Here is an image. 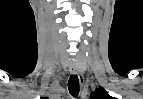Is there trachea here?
<instances>
[{"label":"trachea","instance_id":"obj_1","mask_svg":"<svg viewBox=\"0 0 143 99\" xmlns=\"http://www.w3.org/2000/svg\"><path fill=\"white\" fill-rule=\"evenodd\" d=\"M69 93L73 97H77L79 94V80L76 75H71L68 81Z\"/></svg>","mask_w":143,"mask_h":99}]
</instances>
